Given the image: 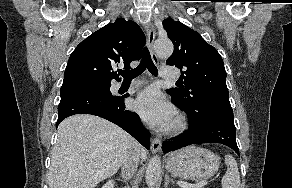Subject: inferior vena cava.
Wrapping results in <instances>:
<instances>
[{
    "mask_svg": "<svg viewBox=\"0 0 292 188\" xmlns=\"http://www.w3.org/2000/svg\"><path fill=\"white\" fill-rule=\"evenodd\" d=\"M140 157L139 144L134 142L128 152V155L122 163V177L124 180H129L134 175Z\"/></svg>",
    "mask_w": 292,
    "mask_h": 188,
    "instance_id": "inferior-vena-cava-1",
    "label": "inferior vena cava"
}]
</instances>
